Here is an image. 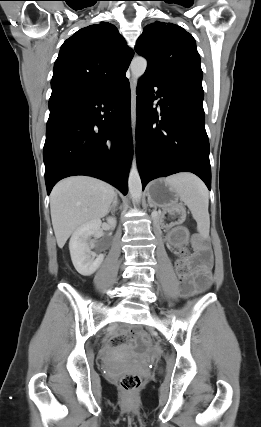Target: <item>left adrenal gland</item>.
<instances>
[{"label": "left adrenal gland", "instance_id": "1", "mask_svg": "<svg viewBox=\"0 0 261 427\" xmlns=\"http://www.w3.org/2000/svg\"><path fill=\"white\" fill-rule=\"evenodd\" d=\"M149 206H150V207H153V205H152V204H150V203H149Z\"/></svg>", "mask_w": 261, "mask_h": 427}]
</instances>
